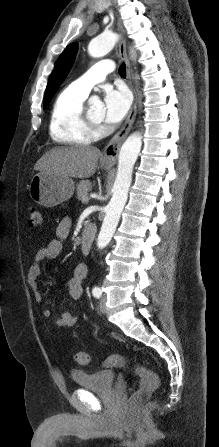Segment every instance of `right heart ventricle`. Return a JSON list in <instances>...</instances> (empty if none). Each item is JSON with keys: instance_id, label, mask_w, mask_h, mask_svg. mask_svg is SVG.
Wrapping results in <instances>:
<instances>
[{"instance_id": "1", "label": "right heart ventricle", "mask_w": 219, "mask_h": 447, "mask_svg": "<svg viewBox=\"0 0 219 447\" xmlns=\"http://www.w3.org/2000/svg\"><path fill=\"white\" fill-rule=\"evenodd\" d=\"M86 96L70 86L56 97L50 116L51 138L60 144L83 145L94 141L97 132L87 127L82 119V107Z\"/></svg>"}]
</instances>
